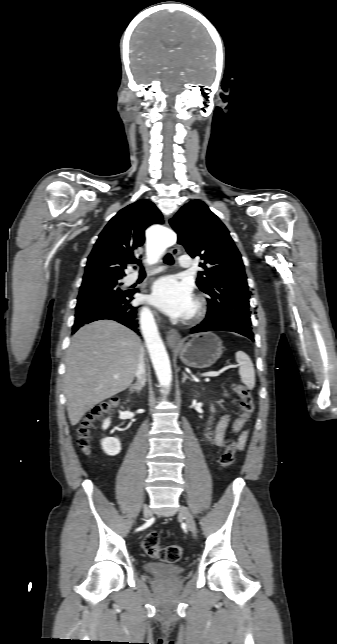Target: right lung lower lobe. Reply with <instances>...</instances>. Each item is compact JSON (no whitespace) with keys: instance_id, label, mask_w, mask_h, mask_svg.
<instances>
[{"instance_id":"right-lung-lower-lobe-1","label":"right lung lower lobe","mask_w":337,"mask_h":644,"mask_svg":"<svg viewBox=\"0 0 337 644\" xmlns=\"http://www.w3.org/2000/svg\"><path fill=\"white\" fill-rule=\"evenodd\" d=\"M127 296L108 303L96 304L80 308L75 313V323L72 327V333L76 332L81 326L90 322L102 319H110L129 327L139 334L138 329V307H134L131 302L133 295L138 290H130Z\"/></svg>"}]
</instances>
